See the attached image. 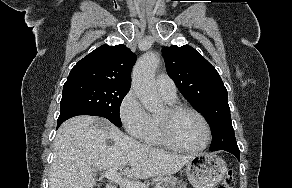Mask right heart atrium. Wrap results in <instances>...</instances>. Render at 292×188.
<instances>
[{"instance_id": "right-heart-atrium-1", "label": "right heart atrium", "mask_w": 292, "mask_h": 188, "mask_svg": "<svg viewBox=\"0 0 292 188\" xmlns=\"http://www.w3.org/2000/svg\"><path fill=\"white\" fill-rule=\"evenodd\" d=\"M119 117L130 136L143 139L150 125V115L142 106L134 90H129L122 98L119 105Z\"/></svg>"}]
</instances>
